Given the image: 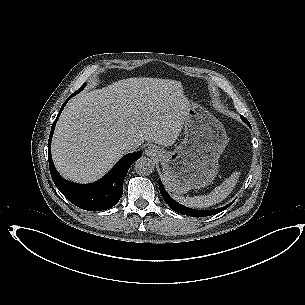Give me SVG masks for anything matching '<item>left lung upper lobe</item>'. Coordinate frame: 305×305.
Returning a JSON list of instances; mask_svg holds the SVG:
<instances>
[{
  "instance_id": "left-lung-upper-lobe-1",
  "label": "left lung upper lobe",
  "mask_w": 305,
  "mask_h": 305,
  "mask_svg": "<svg viewBox=\"0 0 305 305\" xmlns=\"http://www.w3.org/2000/svg\"><path fill=\"white\" fill-rule=\"evenodd\" d=\"M242 120L249 125V122L247 121L246 118L242 117ZM176 212L180 213V214H184V215H188V216H191V217H206V211H202V210H195V209H190V208H187L181 204H177L176 205Z\"/></svg>"
}]
</instances>
